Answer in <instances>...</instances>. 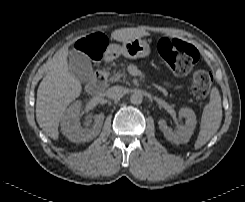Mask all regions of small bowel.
<instances>
[{
  "instance_id": "1",
  "label": "small bowel",
  "mask_w": 245,
  "mask_h": 202,
  "mask_svg": "<svg viewBox=\"0 0 245 202\" xmlns=\"http://www.w3.org/2000/svg\"><path fill=\"white\" fill-rule=\"evenodd\" d=\"M166 86H168V84H167V83H164V84H162V85H159L158 88L161 89V88H164V87H166Z\"/></svg>"
}]
</instances>
